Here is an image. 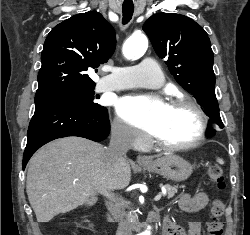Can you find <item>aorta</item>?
<instances>
[{
    "label": "aorta",
    "instance_id": "762f6f07",
    "mask_svg": "<svg viewBox=\"0 0 250 235\" xmlns=\"http://www.w3.org/2000/svg\"><path fill=\"white\" fill-rule=\"evenodd\" d=\"M148 47V40L144 36L132 35L123 46V54L126 58L132 59L142 56ZM138 235H151V227Z\"/></svg>",
    "mask_w": 250,
    "mask_h": 235
}]
</instances>
